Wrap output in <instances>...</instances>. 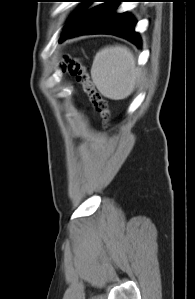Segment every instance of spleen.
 Here are the masks:
<instances>
[{
  "mask_svg": "<svg viewBox=\"0 0 195 299\" xmlns=\"http://www.w3.org/2000/svg\"><path fill=\"white\" fill-rule=\"evenodd\" d=\"M140 76L134 54L125 46L104 47L94 57L91 77L104 97L114 100L128 97Z\"/></svg>",
  "mask_w": 195,
  "mask_h": 299,
  "instance_id": "obj_1",
  "label": "spleen"
}]
</instances>
